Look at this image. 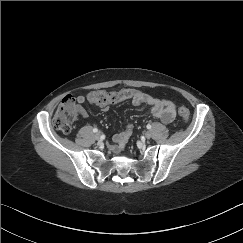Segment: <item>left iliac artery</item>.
<instances>
[{
	"instance_id": "44dca946",
	"label": "left iliac artery",
	"mask_w": 243,
	"mask_h": 243,
	"mask_svg": "<svg viewBox=\"0 0 243 243\" xmlns=\"http://www.w3.org/2000/svg\"><path fill=\"white\" fill-rule=\"evenodd\" d=\"M147 129H151L152 128V126L150 125V124H147Z\"/></svg>"
}]
</instances>
